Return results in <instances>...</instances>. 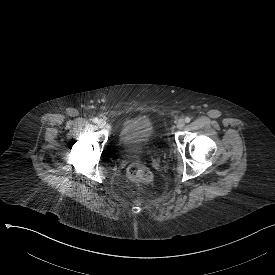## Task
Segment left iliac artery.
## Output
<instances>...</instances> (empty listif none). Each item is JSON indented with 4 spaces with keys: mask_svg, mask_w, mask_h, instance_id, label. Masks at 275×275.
<instances>
[{
    "mask_svg": "<svg viewBox=\"0 0 275 275\" xmlns=\"http://www.w3.org/2000/svg\"><path fill=\"white\" fill-rule=\"evenodd\" d=\"M190 121H191V118H190V117H186V118H185V122H186V123H189Z\"/></svg>",
    "mask_w": 275,
    "mask_h": 275,
    "instance_id": "left-iliac-artery-1",
    "label": "left iliac artery"
}]
</instances>
